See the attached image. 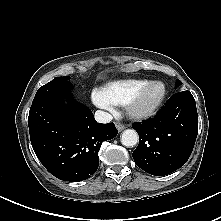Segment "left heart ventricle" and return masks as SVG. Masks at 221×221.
<instances>
[{
  "mask_svg": "<svg viewBox=\"0 0 221 221\" xmlns=\"http://www.w3.org/2000/svg\"><path fill=\"white\" fill-rule=\"evenodd\" d=\"M160 92H161L160 87H152L148 89L141 100L142 107L145 108L150 106L152 103H154L158 98V96L160 95Z\"/></svg>",
  "mask_w": 221,
  "mask_h": 221,
  "instance_id": "left-heart-ventricle-1",
  "label": "left heart ventricle"
}]
</instances>
